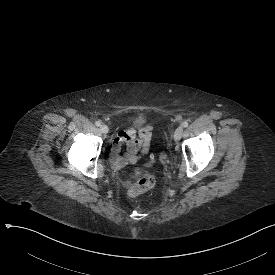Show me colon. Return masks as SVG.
<instances>
[{
	"instance_id": "colon-1",
	"label": "colon",
	"mask_w": 275,
	"mask_h": 275,
	"mask_svg": "<svg viewBox=\"0 0 275 275\" xmlns=\"http://www.w3.org/2000/svg\"><path fill=\"white\" fill-rule=\"evenodd\" d=\"M135 183L128 188V196L136 197L148 190H150L155 183L154 176L145 169H137L134 172Z\"/></svg>"
}]
</instances>
